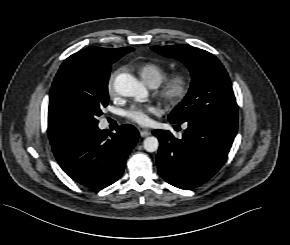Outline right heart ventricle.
I'll list each match as a JSON object with an SVG mask.
<instances>
[{
  "instance_id": "1",
  "label": "right heart ventricle",
  "mask_w": 290,
  "mask_h": 245,
  "mask_svg": "<svg viewBox=\"0 0 290 245\" xmlns=\"http://www.w3.org/2000/svg\"><path fill=\"white\" fill-rule=\"evenodd\" d=\"M138 73L148 85H159L167 74L162 66L152 62L141 64L138 67Z\"/></svg>"
}]
</instances>
